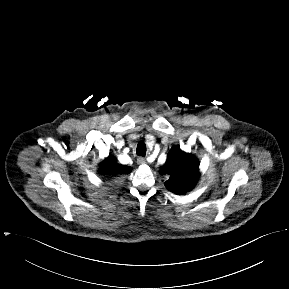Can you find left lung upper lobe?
Segmentation results:
<instances>
[{
  "label": "left lung upper lobe",
  "mask_w": 289,
  "mask_h": 289,
  "mask_svg": "<svg viewBox=\"0 0 289 289\" xmlns=\"http://www.w3.org/2000/svg\"><path fill=\"white\" fill-rule=\"evenodd\" d=\"M160 173L169 179L165 182L168 190L176 194L190 191L199 178V163L195 156L183 152L179 146L172 148Z\"/></svg>",
  "instance_id": "obj_1"
}]
</instances>
